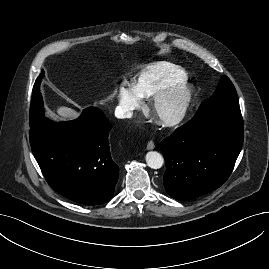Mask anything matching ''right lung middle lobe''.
Listing matches in <instances>:
<instances>
[{"label":"right lung middle lobe","mask_w":269,"mask_h":269,"mask_svg":"<svg viewBox=\"0 0 269 269\" xmlns=\"http://www.w3.org/2000/svg\"><path fill=\"white\" fill-rule=\"evenodd\" d=\"M43 78V73L37 78L32 92V101L30 105V128L37 127L45 118L43 101L40 93V82Z\"/></svg>","instance_id":"right-lung-middle-lobe-1"}]
</instances>
